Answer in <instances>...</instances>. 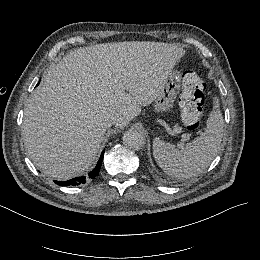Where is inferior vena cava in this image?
<instances>
[{
	"instance_id": "1",
	"label": "inferior vena cava",
	"mask_w": 260,
	"mask_h": 260,
	"mask_svg": "<svg viewBox=\"0 0 260 260\" xmlns=\"http://www.w3.org/2000/svg\"><path fill=\"white\" fill-rule=\"evenodd\" d=\"M115 122L116 119L114 117H110L109 119H107V124L109 127L112 126Z\"/></svg>"
}]
</instances>
